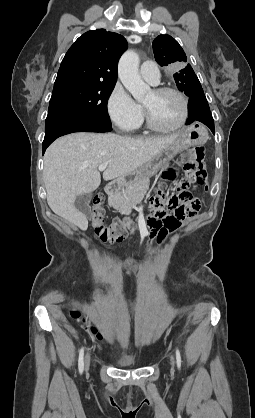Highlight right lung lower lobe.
<instances>
[{
	"mask_svg": "<svg viewBox=\"0 0 255 418\" xmlns=\"http://www.w3.org/2000/svg\"><path fill=\"white\" fill-rule=\"evenodd\" d=\"M111 130V125L80 114L70 112L49 113L45 121L42 152L44 154L46 148L55 139L65 134L73 132H109Z\"/></svg>",
	"mask_w": 255,
	"mask_h": 418,
	"instance_id": "98d812e1",
	"label": "right lung lower lobe"
}]
</instances>
